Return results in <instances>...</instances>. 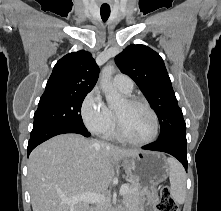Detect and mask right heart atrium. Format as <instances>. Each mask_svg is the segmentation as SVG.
Masks as SVG:
<instances>
[{
	"mask_svg": "<svg viewBox=\"0 0 221 211\" xmlns=\"http://www.w3.org/2000/svg\"><path fill=\"white\" fill-rule=\"evenodd\" d=\"M80 113L84 125L93 134L107 135L114 127V114L107 107L97 89L91 90L85 96Z\"/></svg>",
	"mask_w": 221,
	"mask_h": 211,
	"instance_id": "1",
	"label": "right heart atrium"
}]
</instances>
